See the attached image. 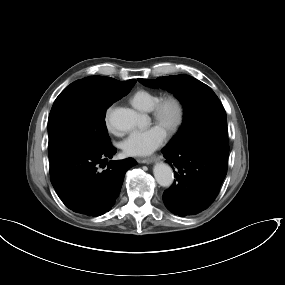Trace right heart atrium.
<instances>
[{
  "mask_svg": "<svg viewBox=\"0 0 285 285\" xmlns=\"http://www.w3.org/2000/svg\"><path fill=\"white\" fill-rule=\"evenodd\" d=\"M110 113H111V109H108L107 112H106V119H107V121H109Z\"/></svg>",
  "mask_w": 285,
  "mask_h": 285,
  "instance_id": "1",
  "label": "right heart atrium"
}]
</instances>
